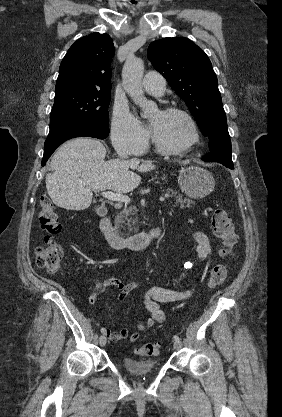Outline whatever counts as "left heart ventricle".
<instances>
[{"label": "left heart ventricle", "instance_id": "1", "mask_svg": "<svg viewBox=\"0 0 282 417\" xmlns=\"http://www.w3.org/2000/svg\"><path fill=\"white\" fill-rule=\"evenodd\" d=\"M152 129L165 144L176 146L184 144L190 138V130L185 120L178 115L154 111L149 116Z\"/></svg>", "mask_w": 282, "mask_h": 417}]
</instances>
